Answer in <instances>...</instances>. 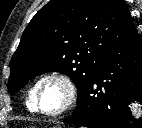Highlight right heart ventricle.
<instances>
[{"label":"right heart ventricle","instance_id":"1","mask_svg":"<svg viewBox=\"0 0 142 128\" xmlns=\"http://www.w3.org/2000/svg\"><path fill=\"white\" fill-rule=\"evenodd\" d=\"M38 80L29 88L26 98H25V104L29 111L34 112L35 105H34V94L37 87Z\"/></svg>","mask_w":142,"mask_h":128}]
</instances>
